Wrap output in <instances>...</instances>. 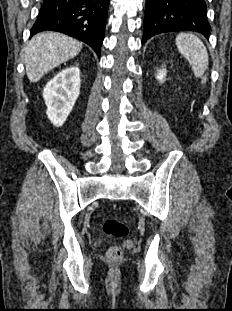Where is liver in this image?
Wrapping results in <instances>:
<instances>
[{"label":"liver","mask_w":232,"mask_h":311,"mask_svg":"<svg viewBox=\"0 0 232 311\" xmlns=\"http://www.w3.org/2000/svg\"><path fill=\"white\" fill-rule=\"evenodd\" d=\"M81 48V42L61 33L35 35L24 55L28 79L33 83L39 81L48 71L78 55Z\"/></svg>","instance_id":"1"}]
</instances>
